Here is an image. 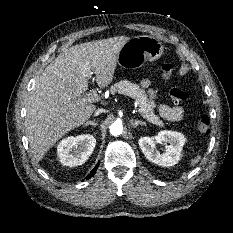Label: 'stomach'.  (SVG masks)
Here are the masks:
<instances>
[{"label": "stomach", "mask_w": 233, "mask_h": 233, "mask_svg": "<svg viewBox=\"0 0 233 233\" xmlns=\"http://www.w3.org/2000/svg\"><path fill=\"white\" fill-rule=\"evenodd\" d=\"M164 51L162 43L148 35L130 38L118 54V64L123 69H134L143 62L158 60Z\"/></svg>", "instance_id": "stomach-1"}]
</instances>
